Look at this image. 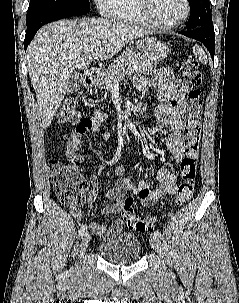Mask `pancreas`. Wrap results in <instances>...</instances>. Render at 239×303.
I'll return each instance as SVG.
<instances>
[{"instance_id":"pancreas-1","label":"pancreas","mask_w":239,"mask_h":303,"mask_svg":"<svg viewBox=\"0 0 239 303\" xmlns=\"http://www.w3.org/2000/svg\"><path fill=\"white\" fill-rule=\"evenodd\" d=\"M155 67L156 63L140 57L135 51H125L103 72L101 85L105 90L111 91L113 86L126 75L151 71Z\"/></svg>"}]
</instances>
